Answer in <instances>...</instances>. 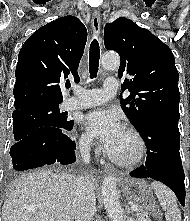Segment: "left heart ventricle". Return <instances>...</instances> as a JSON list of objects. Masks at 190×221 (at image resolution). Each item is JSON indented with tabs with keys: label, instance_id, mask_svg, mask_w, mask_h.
<instances>
[{
	"label": "left heart ventricle",
	"instance_id": "obj_1",
	"mask_svg": "<svg viewBox=\"0 0 190 221\" xmlns=\"http://www.w3.org/2000/svg\"><path fill=\"white\" fill-rule=\"evenodd\" d=\"M108 151L119 159L131 160L138 153V144L135 138L123 129Z\"/></svg>",
	"mask_w": 190,
	"mask_h": 221
}]
</instances>
